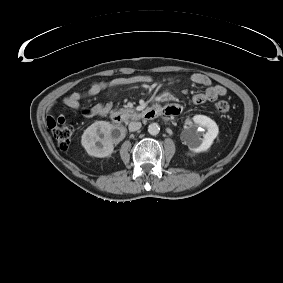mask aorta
<instances>
[{"label":"aorta","mask_w":283,"mask_h":283,"mask_svg":"<svg viewBox=\"0 0 283 283\" xmlns=\"http://www.w3.org/2000/svg\"><path fill=\"white\" fill-rule=\"evenodd\" d=\"M148 132L150 135L156 136L160 132V127L157 123H151L148 126Z\"/></svg>","instance_id":"1"}]
</instances>
